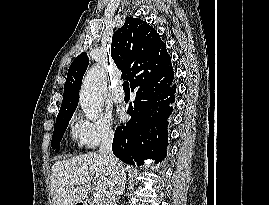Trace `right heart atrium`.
Segmentation results:
<instances>
[{"label": "right heart atrium", "instance_id": "right-heart-atrium-1", "mask_svg": "<svg viewBox=\"0 0 269 205\" xmlns=\"http://www.w3.org/2000/svg\"><path fill=\"white\" fill-rule=\"evenodd\" d=\"M71 132L77 145L86 149H94L102 143L112 141L114 137L111 119L105 114L88 118L77 113L71 120Z\"/></svg>", "mask_w": 269, "mask_h": 205}]
</instances>
